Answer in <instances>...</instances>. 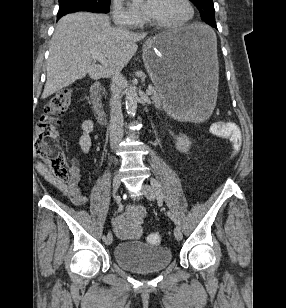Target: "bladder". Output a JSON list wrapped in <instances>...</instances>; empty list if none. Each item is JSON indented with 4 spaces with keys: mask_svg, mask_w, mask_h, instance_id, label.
<instances>
[{
    "mask_svg": "<svg viewBox=\"0 0 286 308\" xmlns=\"http://www.w3.org/2000/svg\"><path fill=\"white\" fill-rule=\"evenodd\" d=\"M112 256L122 268L136 273L163 270L172 260V252L168 247L148 246L141 241L117 243Z\"/></svg>",
    "mask_w": 286,
    "mask_h": 308,
    "instance_id": "1",
    "label": "bladder"
}]
</instances>
